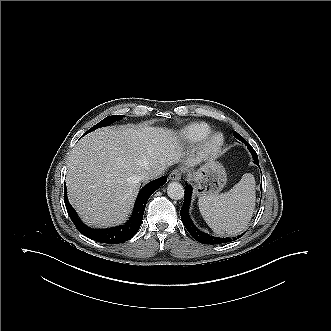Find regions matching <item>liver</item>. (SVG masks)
Segmentation results:
<instances>
[{"label": "liver", "instance_id": "6515ba94", "mask_svg": "<svg viewBox=\"0 0 331 331\" xmlns=\"http://www.w3.org/2000/svg\"><path fill=\"white\" fill-rule=\"evenodd\" d=\"M185 156L174 131L154 127L101 128L83 137L67 164L68 198L81 219L93 227L123 222L133 207L141 176L163 170Z\"/></svg>", "mask_w": 331, "mask_h": 331}]
</instances>
